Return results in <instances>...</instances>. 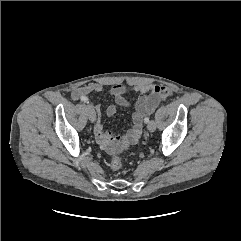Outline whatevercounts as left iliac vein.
I'll return each mask as SVG.
<instances>
[{
	"mask_svg": "<svg viewBox=\"0 0 241 241\" xmlns=\"http://www.w3.org/2000/svg\"><path fill=\"white\" fill-rule=\"evenodd\" d=\"M147 129L150 132H154L156 130V123L154 120H151L148 124H147Z\"/></svg>",
	"mask_w": 241,
	"mask_h": 241,
	"instance_id": "4c4485c4",
	"label": "left iliac vein"
}]
</instances>
